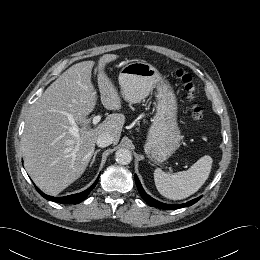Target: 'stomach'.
Instances as JSON below:
<instances>
[{
    "label": "stomach",
    "mask_w": 260,
    "mask_h": 260,
    "mask_svg": "<svg viewBox=\"0 0 260 260\" xmlns=\"http://www.w3.org/2000/svg\"><path fill=\"white\" fill-rule=\"evenodd\" d=\"M122 97L139 103L153 88L157 89V106L144 147L155 163L166 161L180 146L181 132L177 123V99L172 87L153 65L137 61L126 64L118 77Z\"/></svg>",
    "instance_id": "0dacf381"
}]
</instances>
